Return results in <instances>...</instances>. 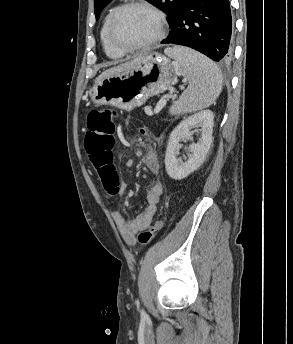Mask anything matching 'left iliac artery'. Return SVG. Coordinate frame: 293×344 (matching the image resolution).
Segmentation results:
<instances>
[{"instance_id":"obj_1","label":"left iliac artery","mask_w":293,"mask_h":344,"mask_svg":"<svg viewBox=\"0 0 293 344\" xmlns=\"http://www.w3.org/2000/svg\"><path fill=\"white\" fill-rule=\"evenodd\" d=\"M141 314L142 316H146V313L144 312V310H142Z\"/></svg>"}]
</instances>
